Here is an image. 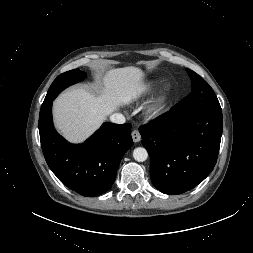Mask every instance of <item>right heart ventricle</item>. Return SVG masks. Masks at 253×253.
I'll return each instance as SVG.
<instances>
[{
	"mask_svg": "<svg viewBox=\"0 0 253 253\" xmlns=\"http://www.w3.org/2000/svg\"><path fill=\"white\" fill-rule=\"evenodd\" d=\"M155 85L156 83L153 80H147L136 85L130 91V95H129L130 99L135 100V101L143 99L144 97H146L148 94L152 92Z\"/></svg>",
	"mask_w": 253,
	"mask_h": 253,
	"instance_id": "right-heart-ventricle-1",
	"label": "right heart ventricle"
}]
</instances>
